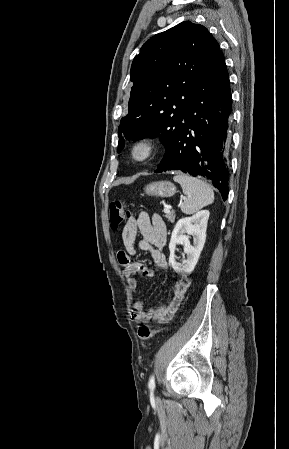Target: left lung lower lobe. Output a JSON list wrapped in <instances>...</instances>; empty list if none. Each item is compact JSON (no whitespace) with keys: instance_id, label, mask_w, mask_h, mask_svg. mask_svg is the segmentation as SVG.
<instances>
[{"instance_id":"left-lung-lower-lobe-1","label":"left lung lower lobe","mask_w":289,"mask_h":449,"mask_svg":"<svg viewBox=\"0 0 289 449\" xmlns=\"http://www.w3.org/2000/svg\"><path fill=\"white\" fill-rule=\"evenodd\" d=\"M231 110L229 75L219 49L195 85L190 104L155 172L181 170L195 177H205L226 200Z\"/></svg>"}]
</instances>
